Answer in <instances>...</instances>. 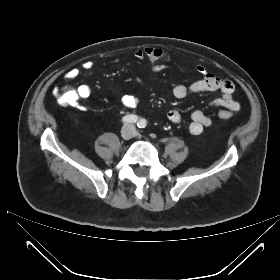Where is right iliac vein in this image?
<instances>
[{
  "mask_svg": "<svg viewBox=\"0 0 280 280\" xmlns=\"http://www.w3.org/2000/svg\"><path fill=\"white\" fill-rule=\"evenodd\" d=\"M133 130L130 126H124L121 130V137L124 140H128L132 137Z\"/></svg>",
  "mask_w": 280,
  "mask_h": 280,
  "instance_id": "obj_1",
  "label": "right iliac vein"
}]
</instances>
